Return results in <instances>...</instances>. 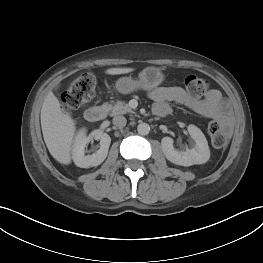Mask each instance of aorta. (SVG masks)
Instances as JSON below:
<instances>
[{
  "mask_svg": "<svg viewBox=\"0 0 263 263\" xmlns=\"http://www.w3.org/2000/svg\"><path fill=\"white\" fill-rule=\"evenodd\" d=\"M137 131L140 135H147L150 132V126L147 123H140L137 127Z\"/></svg>",
  "mask_w": 263,
  "mask_h": 263,
  "instance_id": "obj_1",
  "label": "aorta"
}]
</instances>
